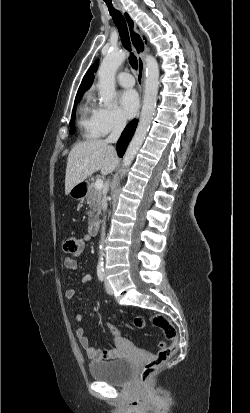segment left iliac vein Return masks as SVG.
Segmentation results:
<instances>
[{
	"mask_svg": "<svg viewBox=\"0 0 250 413\" xmlns=\"http://www.w3.org/2000/svg\"><path fill=\"white\" fill-rule=\"evenodd\" d=\"M105 289L108 294L112 295L113 294V289L107 279H105Z\"/></svg>",
	"mask_w": 250,
	"mask_h": 413,
	"instance_id": "left-iliac-vein-1",
	"label": "left iliac vein"
}]
</instances>
